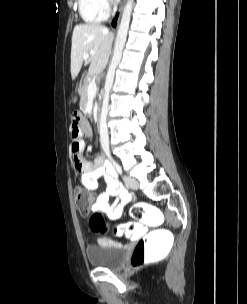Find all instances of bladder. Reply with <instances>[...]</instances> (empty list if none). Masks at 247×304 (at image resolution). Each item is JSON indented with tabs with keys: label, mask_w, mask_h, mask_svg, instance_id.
I'll use <instances>...</instances> for the list:
<instances>
[{
	"label": "bladder",
	"mask_w": 247,
	"mask_h": 304,
	"mask_svg": "<svg viewBox=\"0 0 247 304\" xmlns=\"http://www.w3.org/2000/svg\"><path fill=\"white\" fill-rule=\"evenodd\" d=\"M88 263L93 268L117 270L123 265L127 248L117 243H104L88 246L86 249Z\"/></svg>",
	"instance_id": "obj_1"
}]
</instances>
